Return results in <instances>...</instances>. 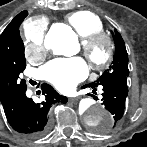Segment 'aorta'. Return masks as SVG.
<instances>
[{
	"instance_id": "aorta-1",
	"label": "aorta",
	"mask_w": 147,
	"mask_h": 147,
	"mask_svg": "<svg viewBox=\"0 0 147 147\" xmlns=\"http://www.w3.org/2000/svg\"><path fill=\"white\" fill-rule=\"evenodd\" d=\"M45 46L54 54L65 56L74 55L79 50L76 35L68 28L59 32L50 31L45 37ZM79 112L84 122L95 130H106L112 126L113 115L102 105L89 99L80 102Z\"/></svg>"
}]
</instances>
